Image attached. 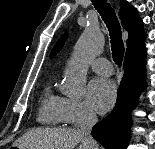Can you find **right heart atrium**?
<instances>
[{"label":"right heart atrium","mask_w":155,"mask_h":149,"mask_svg":"<svg viewBox=\"0 0 155 149\" xmlns=\"http://www.w3.org/2000/svg\"><path fill=\"white\" fill-rule=\"evenodd\" d=\"M64 122L74 126H83L96 122V115L83 102L64 98Z\"/></svg>","instance_id":"1"}]
</instances>
